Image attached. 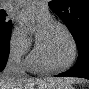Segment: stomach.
Segmentation results:
<instances>
[{"mask_svg": "<svg viewBox=\"0 0 89 89\" xmlns=\"http://www.w3.org/2000/svg\"><path fill=\"white\" fill-rule=\"evenodd\" d=\"M39 89H74V88L69 84H61V85H56L54 87L48 86L47 88H39Z\"/></svg>", "mask_w": 89, "mask_h": 89, "instance_id": "stomach-1", "label": "stomach"}]
</instances>
